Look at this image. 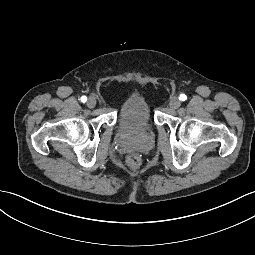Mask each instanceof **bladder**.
<instances>
[{
	"label": "bladder",
	"instance_id": "bladder-1",
	"mask_svg": "<svg viewBox=\"0 0 255 255\" xmlns=\"http://www.w3.org/2000/svg\"><path fill=\"white\" fill-rule=\"evenodd\" d=\"M150 110L139 94H133L122 106L119 114V128L124 132L140 131L148 127Z\"/></svg>",
	"mask_w": 255,
	"mask_h": 255
}]
</instances>
